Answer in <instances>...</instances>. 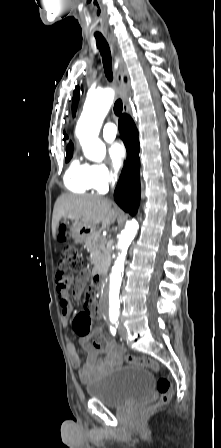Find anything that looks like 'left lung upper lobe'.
Instances as JSON below:
<instances>
[{"mask_svg":"<svg viewBox=\"0 0 221 448\" xmlns=\"http://www.w3.org/2000/svg\"><path fill=\"white\" fill-rule=\"evenodd\" d=\"M78 100H79V87H76L73 97V107H72L73 116H75Z\"/></svg>","mask_w":221,"mask_h":448,"instance_id":"5c2ea615","label":"left lung upper lobe"}]
</instances>
